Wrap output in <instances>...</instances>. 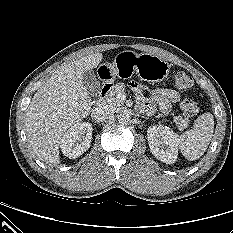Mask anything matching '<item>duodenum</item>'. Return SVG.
<instances>
[{"instance_id": "1", "label": "duodenum", "mask_w": 233, "mask_h": 233, "mask_svg": "<svg viewBox=\"0 0 233 233\" xmlns=\"http://www.w3.org/2000/svg\"><path fill=\"white\" fill-rule=\"evenodd\" d=\"M112 87V82L107 80L103 83L96 99H95V104H100L101 102H103V100L105 99L107 93L109 92V90L111 89Z\"/></svg>"}]
</instances>
